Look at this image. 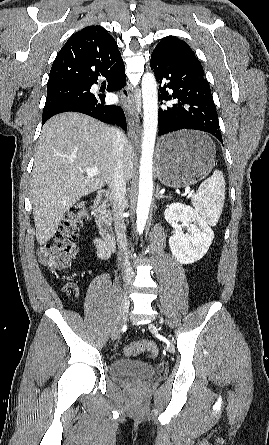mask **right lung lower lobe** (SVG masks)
Segmentation results:
<instances>
[{
	"label": "right lung lower lobe",
	"instance_id": "right-lung-lower-lobe-1",
	"mask_svg": "<svg viewBox=\"0 0 269 445\" xmlns=\"http://www.w3.org/2000/svg\"><path fill=\"white\" fill-rule=\"evenodd\" d=\"M98 76H103L108 79L107 91L112 92L122 89L126 85V75L123 60L93 77L87 83L89 84L90 88L93 84H97ZM62 112H80L92 116L102 122L116 124L122 129H126L122 108L115 105H107L105 103L104 94L94 95L90 93L83 98H77L70 103L62 105L58 107L50 116L43 119V124L50 117Z\"/></svg>",
	"mask_w": 269,
	"mask_h": 445
}]
</instances>
